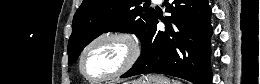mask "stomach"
I'll list each match as a JSON object with an SVG mask.
<instances>
[{
	"label": "stomach",
	"mask_w": 260,
	"mask_h": 84,
	"mask_svg": "<svg viewBox=\"0 0 260 84\" xmlns=\"http://www.w3.org/2000/svg\"><path fill=\"white\" fill-rule=\"evenodd\" d=\"M124 84H171L170 80L161 74H147L141 78Z\"/></svg>",
	"instance_id": "0dacf381"
}]
</instances>
